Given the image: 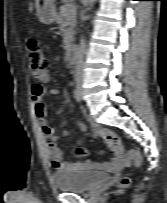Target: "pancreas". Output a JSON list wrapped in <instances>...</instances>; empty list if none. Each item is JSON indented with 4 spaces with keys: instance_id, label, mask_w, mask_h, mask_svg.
<instances>
[{
    "instance_id": "1",
    "label": "pancreas",
    "mask_w": 167,
    "mask_h": 203,
    "mask_svg": "<svg viewBox=\"0 0 167 203\" xmlns=\"http://www.w3.org/2000/svg\"><path fill=\"white\" fill-rule=\"evenodd\" d=\"M69 4L61 6L59 12L56 15V23L60 26V30L63 33L64 49L68 50L74 39V28L76 26V13H69L65 10Z\"/></svg>"
}]
</instances>
